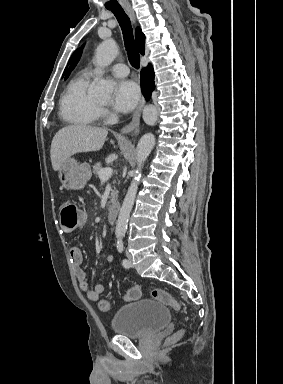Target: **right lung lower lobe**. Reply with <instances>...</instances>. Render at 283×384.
I'll return each mask as SVG.
<instances>
[{
	"instance_id": "obj_1",
	"label": "right lung lower lobe",
	"mask_w": 283,
	"mask_h": 384,
	"mask_svg": "<svg viewBox=\"0 0 283 384\" xmlns=\"http://www.w3.org/2000/svg\"><path fill=\"white\" fill-rule=\"evenodd\" d=\"M141 90L148 100L154 90V71L151 65L141 70Z\"/></svg>"
}]
</instances>
